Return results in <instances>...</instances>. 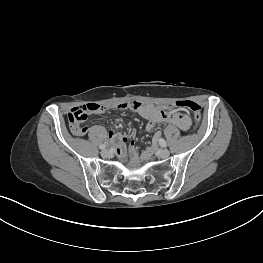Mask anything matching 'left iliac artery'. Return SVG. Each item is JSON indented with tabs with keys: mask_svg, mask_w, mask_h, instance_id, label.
I'll use <instances>...</instances> for the list:
<instances>
[{
	"mask_svg": "<svg viewBox=\"0 0 263 263\" xmlns=\"http://www.w3.org/2000/svg\"><path fill=\"white\" fill-rule=\"evenodd\" d=\"M159 145H160L161 147H166V146H167V143H166V141H165L164 139H160V140H159Z\"/></svg>",
	"mask_w": 263,
	"mask_h": 263,
	"instance_id": "1",
	"label": "left iliac artery"
}]
</instances>
